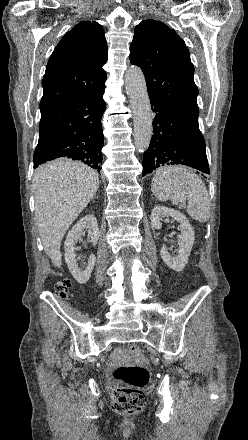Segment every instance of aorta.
<instances>
[{"label": "aorta", "instance_id": "1", "mask_svg": "<svg viewBox=\"0 0 248 440\" xmlns=\"http://www.w3.org/2000/svg\"><path fill=\"white\" fill-rule=\"evenodd\" d=\"M125 86L133 111L135 146L144 152L153 134V118L145 77L139 67L132 66L126 71Z\"/></svg>", "mask_w": 248, "mask_h": 440}]
</instances>
